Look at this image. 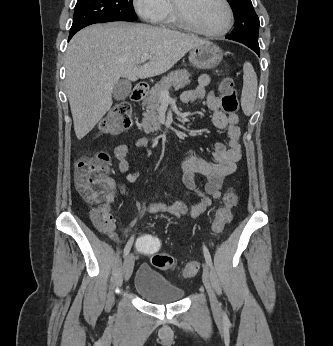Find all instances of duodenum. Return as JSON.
<instances>
[{"label": "duodenum", "mask_w": 333, "mask_h": 346, "mask_svg": "<svg viewBox=\"0 0 333 346\" xmlns=\"http://www.w3.org/2000/svg\"><path fill=\"white\" fill-rule=\"evenodd\" d=\"M147 93V89L144 85H137L132 92V100L139 102L141 101Z\"/></svg>", "instance_id": "410a0bca"}]
</instances>
